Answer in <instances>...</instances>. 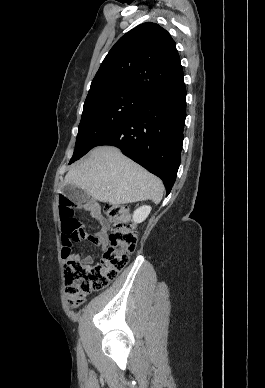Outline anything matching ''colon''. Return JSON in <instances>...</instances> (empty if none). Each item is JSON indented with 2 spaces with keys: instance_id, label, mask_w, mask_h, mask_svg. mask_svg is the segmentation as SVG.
I'll list each match as a JSON object with an SVG mask.
<instances>
[{
  "instance_id": "5ec220e1",
  "label": "colon",
  "mask_w": 265,
  "mask_h": 388,
  "mask_svg": "<svg viewBox=\"0 0 265 388\" xmlns=\"http://www.w3.org/2000/svg\"><path fill=\"white\" fill-rule=\"evenodd\" d=\"M59 212L65 292L69 304L76 307L92 291L105 288L124 269L136 249L137 237L127 207L107 204L104 212L113 226L108 237L109 247L98 264L87 265L71 254L72 243L86 239L88 235L73 215V203L64 195L59 198Z\"/></svg>"
}]
</instances>
